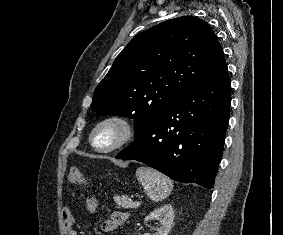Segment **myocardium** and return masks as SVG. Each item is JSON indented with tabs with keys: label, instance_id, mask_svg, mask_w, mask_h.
Returning <instances> with one entry per match:
<instances>
[{
	"label": "myocardium",
	"instance_id": "1",
	"mask_svg": "<svg viewBox=\"0 0 283 235\" xmlns=\"http://www.w3.org/2000/svg\"><path fill=\"white\" fill-rule=\"evenodd\" d=\"M113 125L118 128V137L107 146L97 144L96 137L105 126ZM135 136V125L126 116L121 114H110L101 118L92 128L89 142L93 148L101 153H111L126 146Z\"/></svg>",
	"mask_w": 283,
	"mask_h": 235
}]
</instances>
